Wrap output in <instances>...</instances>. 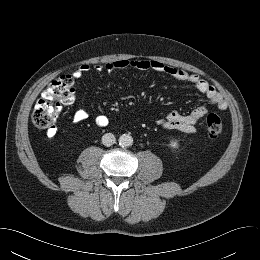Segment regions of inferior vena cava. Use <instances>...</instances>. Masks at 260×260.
Wrapping results in <instances>:
<instances>
[{
    "label": "inferior vena cava",
    "instance_id": "602c4592",
    "mask_svg": "<svg viewBox=\"0 0 260 260\" xmlns=\"http://www.w3.org/2000/svg\"><path fill=\"white\" fill-rule=\"evenodd\" d=\"M116 138L112 133H106L102 136V143L105 146H111L115 143Z\"/></svg>",
    "mask_w": 260,
    "mask_h": 260
}]
</instances>
